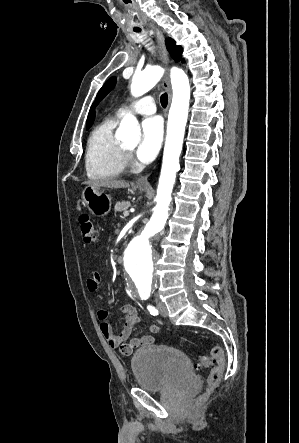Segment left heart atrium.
Here are the masks:
<instances>
[{
    "label": "left heart atrium",
    "mask_w": 299,
    "mask_h": 443,
    "mask_svg": "<svg viewBox=\"0 0 299 443\" xmlns=\"http://www.w3.org/2000/svg\"><path fill=\"white\" fill-rule=\"evenodd\" d=\"M163 137V121L159 116L145 119L142 123V137L136 150L142 162L151 161L158 152Z\"/></svg>",
    "instance_id": "left-heart-atrium-1"
}]
</instances>
